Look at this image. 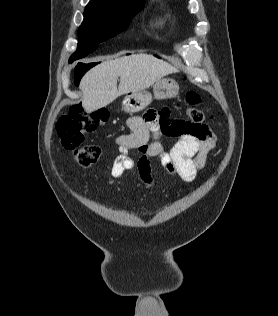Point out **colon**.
<instances>
[{
	"instance_id": "obj_1",
	"label": "colon",
	"mask_w": 278,
	"mask_h": 316,
	"mask_svg": "<svg viewBox=\"0 0 278 316\" xmlns=\"http://www.w3.org/2000/svg\"><path fill=\"white\" fill-rule=\"evenodd\" d=\"M191 105L187 109L188 121H179L170 131L172 135L181 133L200 134L210 115L198 108L201 98L195 91H189L186 96ZM107 113L101 110L89 113L80 104L70 107L67 114L60 117L57 123V136L62 146L74 152L77 162L83 167L96 163L101 155L98 145L82 146L85 136L94 132L107 121Z\"/></svg>"
}]
</instances>
